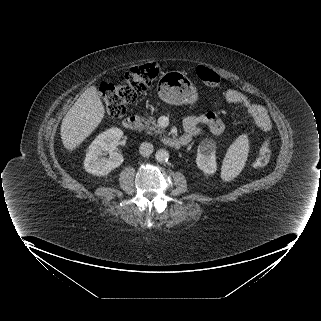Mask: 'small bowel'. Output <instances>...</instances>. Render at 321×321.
Listing matches in <instances>:
<instances>
[{"mask_svg":"<svg viewBox=\"0 0 321 321\" xmlns=\"http://www.w3.org/2000/svg\"><path fill=\"white\" fill-rule=\"evenodd\" d=\"M225 99L229 103L241 106L261 131H268L271 128V119L267 110L263 106L253 103L244 92L228 89L225 92ZM223 129L222 121L214 113H207L203 118L187 117L184 120L183 140L189 143L192 138L204 135L220 136Z\"/></svg>","mask_w":321,"mask_h":321,"instance_id":"1","label":"small bowel"}]
</instances>
